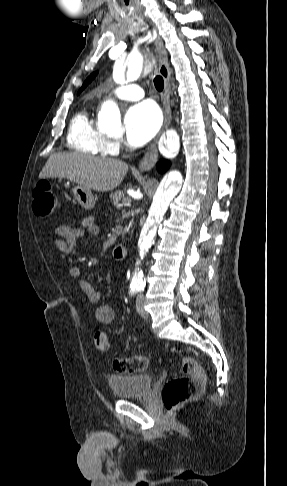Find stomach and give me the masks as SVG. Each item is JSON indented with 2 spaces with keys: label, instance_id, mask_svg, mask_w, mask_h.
<instances>
[{
  "label": "stomach",
  "instance_id": "1",
  "mask_svg": "<svg viewBox=\"0 0 287 486\" xmlns=\"http://www.w3.org/2000/svg\"><path fill=\"white\" fill-rule=\"evenodd\" d=\"M72 193L84 209H92L95 206V198L90 188L77 184L72 188Z\"/></svg>",
  "mask_w": 287,
  "mask_h": 486
}]
</instances>
